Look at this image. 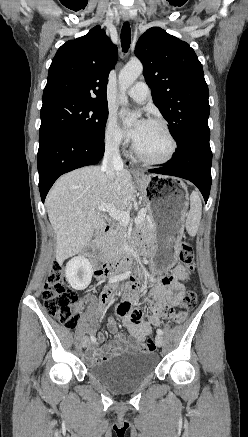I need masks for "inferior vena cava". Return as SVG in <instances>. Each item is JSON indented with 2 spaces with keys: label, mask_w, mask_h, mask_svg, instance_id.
<instances>
[{
  "label": "inferior vena cava",
  "mask_w": 248,
  "mask_h": 437,
  "mask_svg": "<svg viewBox=\"0 0 248 437\" xmlns=\"http://www.w3.org/2000/svg\"><path fill=\"white\" fill-rule=\"evenodd\" d=\"M119 140L108 142L105 146V153L101 171L105 172L108 178L113 179L116 171L123 170V161L119 152Z\"/></svg>",
  "instance_id": "obj_1"
}]
</instances>
